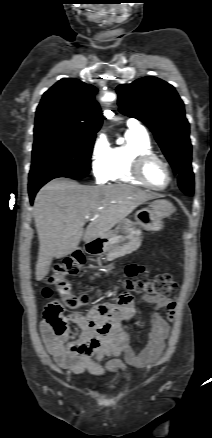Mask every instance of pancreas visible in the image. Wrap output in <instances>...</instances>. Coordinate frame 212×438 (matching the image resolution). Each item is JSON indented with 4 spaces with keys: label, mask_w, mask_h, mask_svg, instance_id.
Segmentation results:
<instances>
[{
    "label": "pancreas",
    "mask_w": 212,
    "mask_h": 438,
    "mask_svg": "<svg viewBox=\"0 0 212 438\" xmlns=\"http://www.w3.org/2000/svg\"><path fill=\"white\" fill-rule=\"evenodd\" d=\"M141 235L142 232L140 230H135L134 236L130 238L128 242L114 247L108 251L107 259L114 260L118 257L130 254L138 250V248L141 246Z\"/></svg>",
    "instance_id": "pancreas-1"
}]
</instances>
